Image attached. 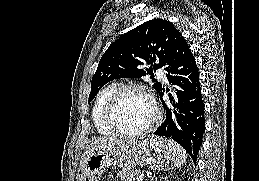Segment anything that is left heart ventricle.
<instances>
[{"mask_svg": "<svg viewBox=\"0 0 259 181\" xmlns=\"http://www.w3.org/2000/svg\"><path fill=\"white\" fill-rule=\"evenodd\" d=\"M153 118L154 110L149 100L138 92L125 94L116 111L118 126L130 132L145 128Z\"/></svg>", "mask_w": 259, "mask_h": 181, "instance_id": "obj_1", "label": "left heart ventricle"}]
</instances>
